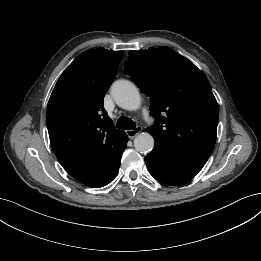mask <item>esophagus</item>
<instances>
[{
	"label": "esophagus",
	"mask_w": 261,
	"mask_h": 261,
	"mask_svg": "<svg viewBox=\"0 0 261 261\" xmlns=\"http://www.w3.org/2000/svg\"><path fill=\"white\" fill-rule=\"evenodd\" d=\"M141 131H142V127L141 126H137L136 129L126 130V134H127V136L129 138H134L136 135L141 133Z\"/></svg>",
	"instance_id": "1"
}]
</instances>
